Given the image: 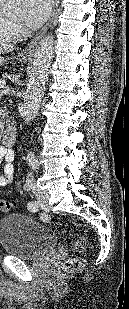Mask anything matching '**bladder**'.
<instances>
[{
  "label": "bladder",
  "mask_w": 129,
  "mask_h": 309,
  "mask_svg": "<svg viewBox=\"0 0 129 309\" xmlns=\"http://www.w3.org/2000/svg\"><path fill=\"white\" fill-rule=\"evenodd\" d=\"M57 244L53 230L30 216L13 213L0 219V245L8 255L32 259L54 250Z\"/></svg>",
  "instance_id": "31cf9c89"
}]
</instances>
